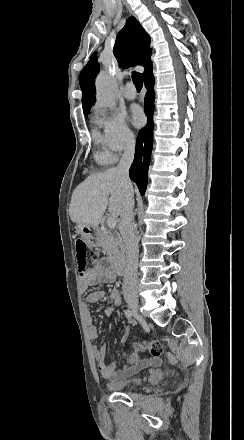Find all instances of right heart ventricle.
I'll return each mask as SVG.
<instances>
[{
  "mask_svg": "<svg viewBox=\"0 0 244 440\" xmlns=\"http://www.w3.org/2000/svg\"><path fill=\"white\" fill-rule=\"evenodd\" d=\"M92 136L94 143L101 147L97 154V159L105 163L114 161V156L104 149V137L95 126L92 129Z\"/></svg>",
  "mask_w": 244,
  "mask_h": 440,
  "instance_id": "obj_1",
  "label": "right heart ventricle"
}]
</instances>
